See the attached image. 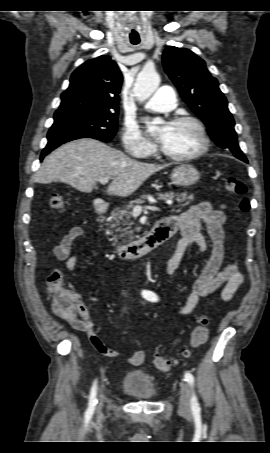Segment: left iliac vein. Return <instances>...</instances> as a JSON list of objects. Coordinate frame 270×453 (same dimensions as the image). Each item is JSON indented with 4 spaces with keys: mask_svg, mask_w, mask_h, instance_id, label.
Masks as SVG:
<instances>
[{
    "mask_svg": "<svg viewBox=\"0 0 270 453\" xmlns=\"http://www.w3.org/2000/svg\"><path fill=\"white\" fill-rule=\"evenodd\" d=\"M179 412L183 415H190L191 413V394L187 383L182 381L180 383V403Z\"/></svg>",
    "mask_w": 270,
    "mask_h": 453,
    "instance_id": "left-iliac-vein-1",
    "label": "left iliac vein"
}]
</instances>
